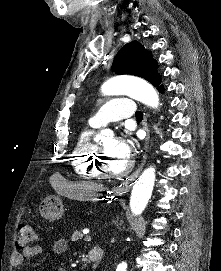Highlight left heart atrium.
Instances as JSON below:
<instances>
[{"instance_id":"left-heart-atrium-1","label":"left heart atrium","mask_w":221,"mask_h":271,"mask_svg":"<svg viewBox=\"0 0 221 271\" xmlns=\"http://www.w3.org/2000/svg\"><path fill=\"white\" fill-rule=\"evenodd\" d=\"M130 148H111L110 157H129Z\"/></svg>"}]
</instances>
